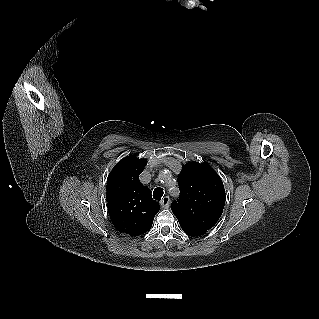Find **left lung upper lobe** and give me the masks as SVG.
I'll return each instance as SVG.
<instances>
[{
    "mask_svg": "<svg viewBox=\"0 0 319 319\" xmlns=\"http://www.w3.org/2000/svg\"><path fill=\"white\" fill-rule=\"evenodd\" d=\"M180 197L171 209L179 224L207 231L219 220L224 204L225 189L220 176L207 164L190 162L178 175Z\"/></svg>",
    "mask_w": 319,
    "mask_h": 319,
    "instance_id": "left-lung-upper-lobe-1",
    "label": "left lung upper lobe"
}]
</instances>
